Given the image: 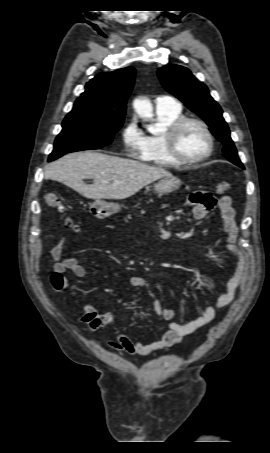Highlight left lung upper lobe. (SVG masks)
Instances as JSON below:
<instances>
[{
	"label": "left lung upper lobe",
	"instance_id": "left-lung-upper-lobe-1",
	"mask_svg": "<svg viewBox=\"0 0 270 453\" xmlns=\"http://www.w3.org/2000/svg\"><path fill=\"white\" fill-rule=\"evenodd\" d=\"M157 74L168 92L184 102L208 124L212 134L224 144V156L244 168L230 137L229 128L222 117V109L210 96L207 86L198 81L189 69L179 65L161 67Z\"/></svg>",
	"mask_w": 270,
	"mask_h": 453
}]
</instances>
